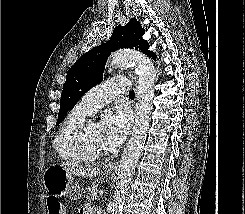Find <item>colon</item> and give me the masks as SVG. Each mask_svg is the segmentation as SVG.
<instances>
[{"label": "colon", "mask_w": 245, "mask_h": 214, "mask_svg": "<svg viewBox=\"0 0 245 214\" xmlns=\"http://www.w3.org/2000/svg\"><path fill=\"white\" fill-rule=\"evenodd\" d=\"M49 214H61V204L57 199L48 200Z\"/></svg>", "instance_id": "1"}]
</instances>
